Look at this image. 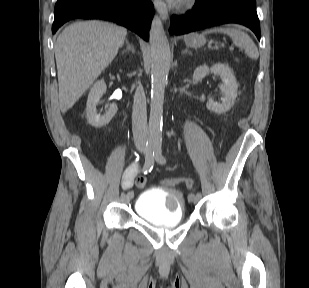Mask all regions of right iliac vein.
I'll list each match as a JSON object with an SVG mask.
<instances>
[{
  "label": "right iliac vein",
  "mask_w": 309,
  "mask_h": 288,
  "mask_svg": "<svg viewBox=\"0 0 309 288\" xmlns=\"http://www.w3.org/2000/svg\"><path fill=\"white\" fill-rule=\"evenodd\" d=\"M132 199V197H129L128 193L126 195H124L122 198H121V201L123 203H128L130 200Z\"/></svg>",
  "instance_id": "1"
}]
</instances>
